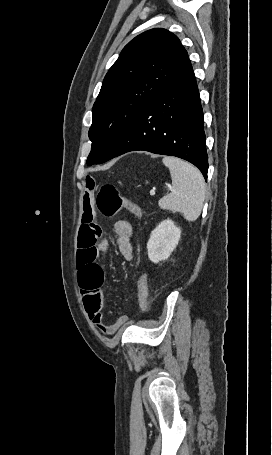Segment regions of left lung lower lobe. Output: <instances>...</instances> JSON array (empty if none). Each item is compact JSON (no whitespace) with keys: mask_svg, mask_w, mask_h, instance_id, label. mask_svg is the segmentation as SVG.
Returning <instances> with one entry per match:
<instances>
[{"mask_svg":"<svg viewBox=\"0 0 272 455\" xmlns=\"http://www.w3.org/2000/svg\"><path fill=\"white\" fill-rule=\"evenodd\" d=\"M203 111L192 65L182 70L137 115L106 157L145 150L185 159L207 178Z\"/></svg>","mask_w":272,"mask_h":455,"instance_id":"left-lung-lower-lobe-1","label":"left lung lower lobe"}]
</instances>
